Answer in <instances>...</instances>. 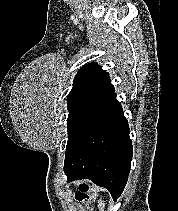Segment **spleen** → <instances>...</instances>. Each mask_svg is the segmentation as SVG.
I'll return each mask as SVG.
<instances>
[{"label":"spleen","mask_w":178,"mask_h":211,"mask_svg":"<svg viewBox=\"0 0 178 211\" xmlns=\"http://www.w3.org/2000/svg\"><path fill=\"white\" fill-rule=\"evenodd\" d=\"M98 208H99L100 211H104L105 202H104L102 199H100V200L98 201Z\"/></svg>","instance_id":"spleen-1"}]
</instances>
